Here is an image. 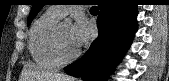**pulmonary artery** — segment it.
I'll return each instance as SVG.
<instances>
[{"label": "pulmonary artery", "instance_id": "obj_1", "mask_svg": "<svg viewBox=\"0 0 169 81\" xmlns=\"http://www.w3.org/2000/svg\"><path fill=\"white\" fill-rule=\"evenodd\" d=\"M52 9L57 11L62 16L65 15L70 10V8L68 6H54V7H52Z\"/></svg>", "mask_w": 169, "mask_h": 81}]
</instances>
